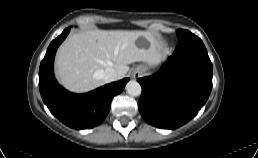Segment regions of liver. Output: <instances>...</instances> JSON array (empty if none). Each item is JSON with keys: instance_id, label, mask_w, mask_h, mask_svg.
Listing matches in <instances>:
<instances>
[{"instance_id": "liver-1", "label": "liver", "mask_w": 258, "mask_h": 158, "mask_svg": "<svg viewBox=\"0 0 258 158\" xmlns=\"http://www.w3.org/2000/svg\"><path fill=\"white\" fill-rule=\"evenodd\" d=\"M161 46L150 31L90 30L72 34L60 46L55 62L61 84L73 92H87L104 85L102 72L113 68L116 80L129 71L128 65L156 64Z\"/></svg>"}]
</instances>
